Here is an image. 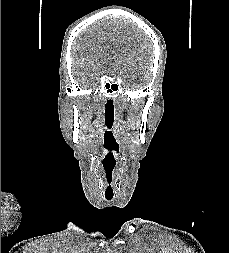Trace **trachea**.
<instances>
[{"mask_svg":"<svg viewBox=\"0 0 229 253\" xmlns=\"http://www.w3.org/2000/svg\"><path fill=\"white\" fill-rule=\"evenodd\" d=\"M108 200H111L112 198H107Z\"/></svg>","mask_w":229,"mask_h":253,"instance_id":"trachea-1","label":"trachea"}]
</instances>
